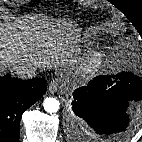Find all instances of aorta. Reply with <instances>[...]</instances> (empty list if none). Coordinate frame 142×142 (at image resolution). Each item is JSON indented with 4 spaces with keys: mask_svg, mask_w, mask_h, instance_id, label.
I'll list each match as a JSON object with an SVG mask.
<instances>
[{
    "mask_svg": "<svg viewBox=\"0 0 142 142\" xmlns=\"http://www.w3.org/2000/svg\"><path fill=\"white\" fill-rule=\"evenodd\" d=\"M59 105V101L52 97H47L43 102L44 110L48 113L57 112L59 110Z\"/></svg>",
    "mask_w": 142,
    "mask_h": 142,
    "instance_id": "762f6f07",
    "label": "aorta"
}]
</instances>
